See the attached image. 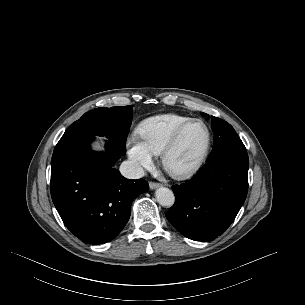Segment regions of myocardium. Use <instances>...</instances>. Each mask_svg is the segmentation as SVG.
Instances as JSON below:
<instances>
[{
  "instance_id": "myocardium-1",
  "label": "myocardium",
  "mask_w": 305,
  "mask_h": 305,
  "mask_svg": "<svg viewBox=\"0 0 305 305\" xmlns=\"http://www.w3.org/2000/svg\"><path fill=\"white\" fill-rule=\"evenodd\" d=\"M195 124L203 125L207 131V141H206L205 147H204L202 153L200 154V156L198 157V159L192 165H190L186 168H183V169H174L170 165V157L179 147V145L183 139V136L185 135L187 130ZM211 144H212V133H211V129L208 126V124L206 122H204L203 120L193 119V120L189 121L188 123H186L185 125H183L177 131V133L174 135L172 140L162 151V153H161L162 166H163L164 170L171 177H173L175 179L184 180V179L190 178L194 174H196L202 168L204 163L206 162V159L210 152Z\"/></svg>"
}]
</instances>
